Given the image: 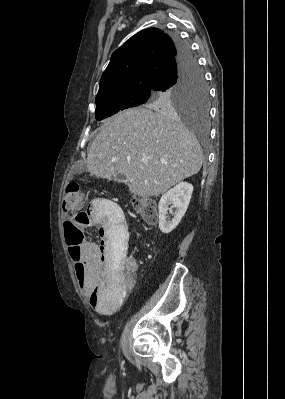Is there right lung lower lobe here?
Masks as SVG:
<instances>
[{"label": "right lung lower lobe", "mask_w": 285, "mask_h": 399, "mask_svg": "<svg viewBox=\"0 0 285 399\" xmlns=\"http://www.w3.org/2000/svg\"><path fill=\"white\" fill-rule=\"evenodd\" d=\"M174 43L177 56L165 67L157 78L152 88L154 91H160L174 86L184 72L197 63L187 44L182 42L178 37H174Z\"/></svg>", "instance_id": "obj_1"}]
</instances>
